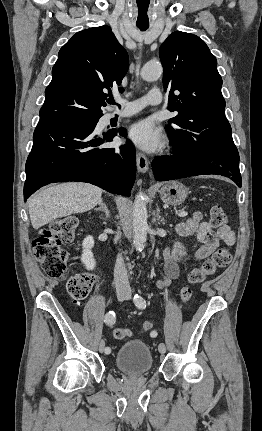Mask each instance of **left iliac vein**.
<instances>
[{
    "instance_id": "left-iliac-vein-1",
    "label": "left iliac vein",
    "mask_w": 262,
    "mask_h": 431,
    "mask_svg": "<svg viewBox=\"0 0 262 431\" xmlns=\"http://www.w3.org/2000/svg\"><path fill=\"white\" fill-rule=\"evenodd\" d=\"M130 298V296L129 295H127L126 297H125V299H129ZM158 350H159V352L161 353V354H164L165 352H166V346H165V344L164 343H160L159 344V347H158Z\"/></svg>"
}]
</instances>
